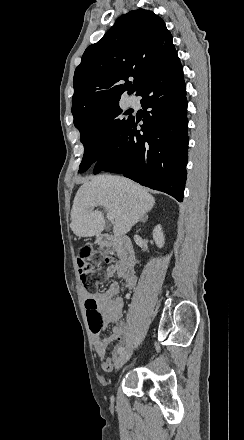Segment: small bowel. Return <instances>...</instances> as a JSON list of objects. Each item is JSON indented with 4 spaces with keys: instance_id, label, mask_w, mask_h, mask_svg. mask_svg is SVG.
<instances>
[{
    "instance_id": "c3829d8e",
    "label": "small bowel",
    "mask_w": 244,
    "mask_h": 440,
    "mask_svg": "<svg viewBox=\"0 0 244 440\" xmlns=\"http://www.w3.org/2000/svg\"><path fill=\"white\" fill-rule=\"evenodd\" d=\"M105 276L108 278L117 276L129 289L134 288L136 285L134 269L125 266L121 261L108 266L105 270ZM119 292V282H113L103 292L89 294L84 288L81 290L85 302L88 299L96 302L98 310L103 316L104 326L113 325L111 334L103 339L99 337L98 333L93 332L92 335L95 352L101 360L100 369L104 373L111 372L120 363L117 351L120 345H124V339L129 333V327L123 321L124 299L119 295ZM112 342H116V345L111 355L106 358L107 348Z\"/></svg>"
}]
</instances>
